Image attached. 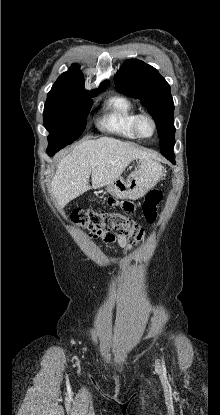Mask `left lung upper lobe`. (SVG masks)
<instances>
[{
    "instance_id": "left-lung-upper-lobe-1",
    "label": "left lung upper lobe",
    "mask_w": 220,
    "mask_h": 415,
    "mask_svg": "<svg viewBox=\"0 0 220 415\" xmlns=\"http://www.w3.org/2000/svg\"><path fill=\"white\" fill-rule=\"evenodd\" d=\"M114 79L120 92L139 98L153 116L161 153L174 154V104L166 80L154 67L137 59L126 60Z\"/></svg>"
}]
</instances>
